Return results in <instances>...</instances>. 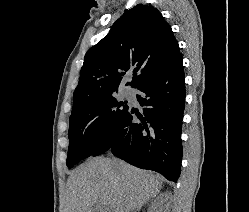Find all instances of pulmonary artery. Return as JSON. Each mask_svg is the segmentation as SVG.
<instances>
[{
    "instance_id": "e3ab8cb5",
    "label": "pulmonary artery",
    "mask_w": 249,
    "mask_h": 212,
    "mask_svg": "<svg viewBox=\"0 0 249 212\" xmlns=\"http://www.w3.org/2000/svg\"><path fill=\"white\" fill-rule=\"evenodd\" d=\"M123 96L127 99H135V92L132 88H126L123 91Z\"/></svg>"
}]
</instances>
